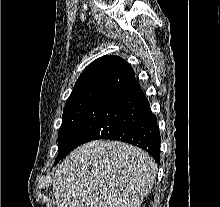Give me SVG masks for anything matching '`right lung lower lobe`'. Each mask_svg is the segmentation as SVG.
<instances>
[{
	"mask_svg": "<svg viewBox=\"0 0 220 207\" xmlns=\"http://www.w3.org/2000/svg\"><path fill=\"white\" fill-rule=\"evenodd\" d=\"M95 139L128 142L147 151L158 163L160 161L157 118L131 66L103 82L62 158L77 146Z\"/></svg>",
	"mask_w": 220,
	"mask_h": 207,
	"instance_id": "obj_1",
	"label": "right lung lower lobe"
}]
</instances>
